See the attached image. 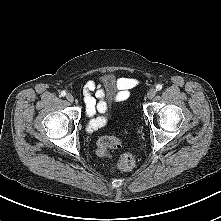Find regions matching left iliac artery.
Wrapping results in <instances>:
<instances>
[{"instance_id":"obj_1","label":"left iliac artery","mask_w":221,"mask_h":221,"mask_svg":"<svg viewBox=\"0 0 221 221\" xmlns=\"http://www.w3.org/2000/svg\"><path fill=\"white\" fill-rule=\"evenodd\" d=\"M162 89V85L161 84H158L157 86H156V91H160Z\"/></svg>"}]
</instances>
